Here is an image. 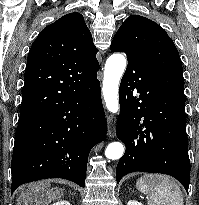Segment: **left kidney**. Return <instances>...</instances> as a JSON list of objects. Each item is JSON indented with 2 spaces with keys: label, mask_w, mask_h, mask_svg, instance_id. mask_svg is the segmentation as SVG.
<instances>
[{
  "label": "left kidney",
  "mask_w": 199,
  "mask_h": 205,
  "mask_svg": "<svg viewBox=\"0 0 199 205\" xmlns=\"http://www.w3.org/2000/svg\"><path fill=\"white\" fill-rule=\"evenodd\" d=\"M127 205H143V204L136 200H130L128 201Z\"/></svg>",
  "instance_id": "5707ae66"
}]
</instances>
